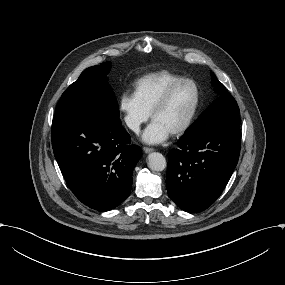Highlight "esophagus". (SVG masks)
I'll return each mask as SVG.
<instances>
[{
  "mask_svg": "<svg viewBox=\"0 0 285 285\" xmlns=\"http://www.w3.org/2000/svg\"><path fill=\"white\" fill-rule=\"evenodd\" d=\"M154 150H155L154 148L143 147V151H144L145 153H150V152H152V151H154Z\"/></svg>",
  "mask_w": 285,
  "mask_h": 285,
  "instance_id": "esophagus-1",
  "label": "esophagus"
}]
</instances>
